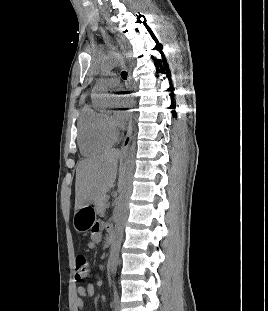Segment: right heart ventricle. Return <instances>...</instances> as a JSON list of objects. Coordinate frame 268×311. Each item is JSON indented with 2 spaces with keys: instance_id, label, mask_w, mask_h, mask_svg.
Listing matches in <instances>:
<instances>
[{
  "instance_id": "1",
  "label": "right heart ventricle",
  "mask_w": 268,
  "mask_h": 311,
  "mask_svg": "<svg viewBox=\"0 0 268 311\" xmlns=\"http://www.w3.org/2000/svg\"><path fill=\"white\" fill-rule=\"evenodd\" d=\"M117 134L105 114L85 106L78 119V143L84 155H94L110 148Z\"/></svg>"
}]
</instances>
